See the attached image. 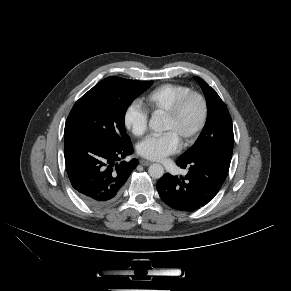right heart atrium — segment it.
<instances>
[{"label": "right heart atrium", "instance_id": "obj_1", "mask_svg": "<svg viewBox=\"0 0 291 291\" xmlns=\"http://www.w3.org/2000/svg\"><path fill=\"white\" fill-rule=\"evenodd\" d=\"M123 121L135 136H142L148 129L149 113L139 102L134 101L125 109Z\"/></svg>", "mask_w": 291, "mask_h": 291}]
</instances>
